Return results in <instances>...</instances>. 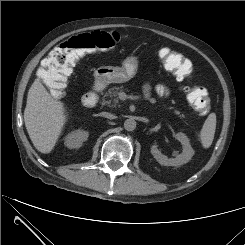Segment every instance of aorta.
Listing matches in <instances>:
<instances>
[{"label":"aorta","mask_w":245,"mask_h":245,"mask_svg":"<svg viewBox=\"0 0 245 245\" xmlns=\"http://www.w3.org/2000/svg\"><path fill=\"white\" fill-rule=\"evenodd\" d=\"M136 121L133 118L126 119L124 122V128L127 131H134L136 129Z\"/></svg>","instance_id":"1"}]
</instances>
